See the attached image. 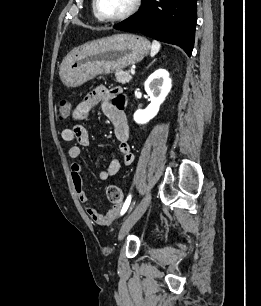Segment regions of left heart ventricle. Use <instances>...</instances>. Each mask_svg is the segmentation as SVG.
Wrapping results in <instances>:
<instances>
[{"instance_id": "b2bd125f", "label": "left heart ventricle", "mask_w": 261, "mask_h": 306, "mask_svg": "<svg viewBox=\"0 0 261 306\" xmlns=\"http://www.w3.org/2000/svg\"><path fill=\"white\" fill-rule=\"evenodd\" d=\"M133 0H98V8L102 15L114 17L126 12Z\"/></svg>"}]
</instances>
